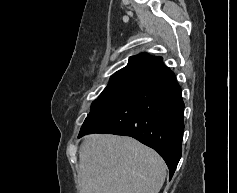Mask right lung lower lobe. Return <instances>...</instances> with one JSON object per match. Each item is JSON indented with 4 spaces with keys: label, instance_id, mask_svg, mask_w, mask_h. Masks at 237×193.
<instances>
[{
    "label": "right lung lower lobe",
    "instance_id": "obj_1",
    "mask_svg": "<svg viewBox=\"0 0 237 193\" xmlns=\"http://www.w3.org/2000/svg\"><path fill=\"white\" fill-rule=\"evenodd\" d=\"M183 112L181 88L159 57L147 67L140 85L127 98L87 117L78 137L90 133L133 137L160 154L171 179L182 153Z\"/></svg>",
    "mask_w": 237,
    "mask_h": 193
}]
</instances>
